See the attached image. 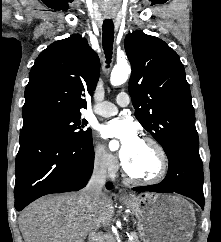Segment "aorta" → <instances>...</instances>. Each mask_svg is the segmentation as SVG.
I'll return each mask as SVG.
<instances>
[{
  "label": "aorta",
  "mask_w": 221,
  "mask_h": 242,
  "mask_svg": "<svg viewBox=\"0 0 221 242\" xmlns=\"http://www.w3.org/2000/svg\"><path fill=\"white\" fill-rule=\"evenodd\" d=\"M131 73L130 65L127 62L118 63L111 72L110 82L113 86L125 83ZM117 143L112 142L111 147H116Z\"/></svg>",
  "instance_id": "1"
}]
</instances>
